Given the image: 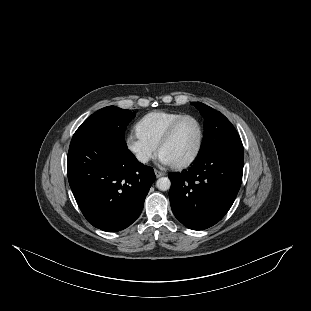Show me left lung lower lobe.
I'll list each match as a JSON object with an SVG mask.
<instances>
[{"instance_id":"0a47b994","label":"left lung lower lobe","mask_w":311,"mask_h":311,"mask_svg":"<svg viewBox=\"0 0 311 311\" xmlns=\"http://www.w3.org/2000/svg\"><path fill=\"white\" fill-rule=\"evenodd\" d=\"M243 145L230 144L171 173L169 198L175 217L193 230L209 228L232 206L243 174Z\"/></svg>"}]
</instances>
